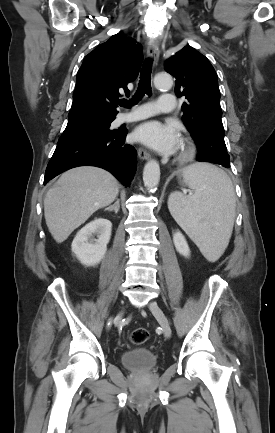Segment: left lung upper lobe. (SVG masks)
I'll use <instances>...</instances> for the list:
<instances>
[{
  "label": "left lung upper lobe",
  "instance_id": "left-lung-upper-lobe-1",
  "mask_svg": "<svg viewBox=\"0 0 275 433\" xmlns=\"http://www.w3.org/2000/svg\"><path fill=\"white\" fill-rule=\"evenodd\" d=\"M165 69L176 78V95L187 99L182 119L199 151L198 161L229 164L217 74L209 60L186 46L166 61Z\"/></svg>",
  "mask_w": 275,
  "mask_h": 433
}]
</instances>
